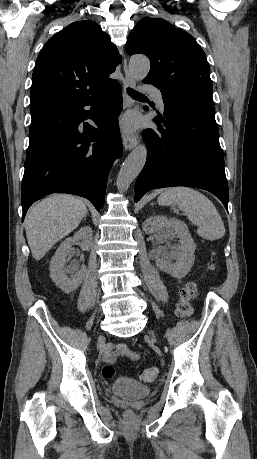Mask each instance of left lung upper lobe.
Listing matches in <instances>:
<instances>
[{
    "mask_svg": "<svg viewBox=\"0 0 257 459\" xmlns=\"http://www.w3.org/2000/svg\"><path fill=\"white\" fill-rule=\"evenodd\" d=\"M126 51L150 59L151 68L143 81L161 92H213L204 51L190 34L164 19L140 20L128 36Z\"/></svg>",
    "mask_w": 257,
    "mask_h": 459,
    "instance_id": "5c2ea615",
    "label": "left lung upper lobe"
}]
</instances>
